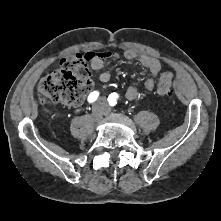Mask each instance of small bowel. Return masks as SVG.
I'll return each mask as SVG.
<instances>
[{"mask_svg":"<svg viewBox=\"0 0 221 221\" xmlns=\"http://www.w3.org/2000/svg\"><path fill=\"white\" fill-rule=\"evenodd\" d=\"M85 56L88 58V61H90L92 69L97 73L98 79L101 82H108L111 78V74L109 71L104 70V60L110 57L119 58V55L113 52L97 53L90 51L87 52ZM123 56L127 60L139 59L140 64L151 74V77L144 83V89L146 91L153 90L155 87V79L161 70L160 61L146 54L138 55L136 51L131 49L126 50ZM138 94L139 92L136 87L129 86L126 90L125 96L128 100H134L137 98Z\"/></svg>","mask_w":221,"mask_h":221,"instance_id":"1","label":"small bowel"}]
</instances>
